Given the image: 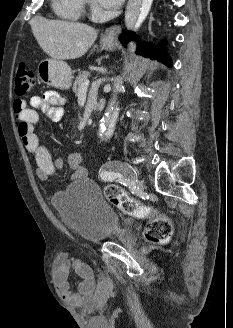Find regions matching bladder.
Masks as SVG:
<instances>
[{"mask_svg": "<svg viewBox=\"0 0 233 328\" xmlns=\"http://www.w3.org/2000/svg\"><path fill=\"white\" fill-rule=\"evenodd\" d=\"M51 203L62 221L84 240L97 243L113 238L126 245L133 244V239L121 229L117 213L95 182L77 180L55 193Z\"/></svg>", "mask_w": 233, "mask_h": 328, "instance_id": "obj_1", "label": "bladder"}]
</instances>
